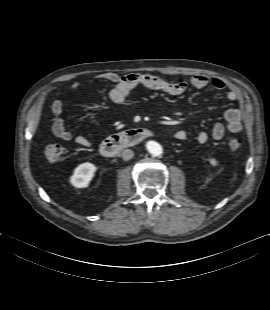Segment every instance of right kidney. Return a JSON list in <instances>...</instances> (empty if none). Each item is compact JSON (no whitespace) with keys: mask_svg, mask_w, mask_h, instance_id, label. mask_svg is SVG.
<instances>
[{"mask_svg":"<svg viewBox=\"0 0 270 310\" xmlns=\"http://www.w3.org/2000/svg\"><path fill=\"white\" fill-rule=\"evenodd\" d=\"M96 170V166L92 163L80 164L70 177V183L76 188H86L94 177Z\"/></svg>","mask_w":270,"mask_h":310,"instance_id":"1","label":"right kidney"}]
</instances>
